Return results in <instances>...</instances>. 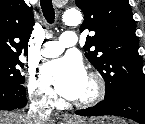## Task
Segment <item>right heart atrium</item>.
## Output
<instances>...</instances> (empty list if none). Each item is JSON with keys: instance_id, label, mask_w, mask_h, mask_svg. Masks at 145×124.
<instances>
[{"instance_id": "right-heart-atrium-1", "label": "right heart atrium", "mask_w": 145, "mask_h": 124, "mask_svg": "<svg viewBox=\"0 0 145 124\" xmlns=\"http://www.w3.org/2000/svg\"><path fill=\"white\" fill-rule=\"evenodd\" d=\"M28 93L34 103L42 108H54L57 104V97L52 89L47 87L40 79L32 73L28 81Z\"/></svg>"}]
</instances>
